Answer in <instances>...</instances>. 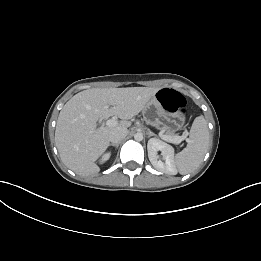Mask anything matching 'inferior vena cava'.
I'll return each mask as SVG.
<instances>
[{
  "instance_id": "1",
  "label": "inferior vena cava",
  "mask_w": 261,
  "mask_h": 261,
  "mask_svg": "<svg viewBox=\"0 0 261 261\" xmlns=\"http://www.w3.org/2000/svg\"><path fill=\"white\" fill-rule=\"evenodd\" d=\"M128 134L127 128L118 127L113 129L109 134V141L112 144H118L121 140H123Z\"/></svg>"
}]
</instances>
